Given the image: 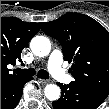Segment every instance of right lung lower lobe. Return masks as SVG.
<instances>
[{"label": "right lung lower lobe", "instance_id": "1", "mask_svg": "<svg viewBox=\"0 0 109 109\" xmlns=\"http://www.w3.org/2000/svg\"><path fill=\"white\" fill-rule=\"evenodd\" d=\"M32 80L28 77H20L1 86V109H14L22 96L23 86Z\"/></svg>", "mask_w": 109, "mask_h": 109}]
</instances>
